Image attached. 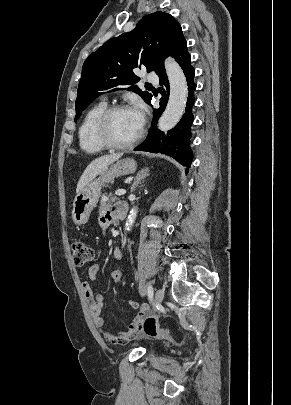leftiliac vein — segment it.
Here are the masks:
<instances>
[{"instance_id":"left-iliac-vein-1","label":"left iliac vein","mask_w":291,"mask_h":405,"mask_svg":"<svg viewBox=\"0 0 291 405\" xmlns=\"http://www.w3.org/2000/svg\"><path fill=\"white\" fill-rule=\"evenodd\" d=\"M164 299V291L162 289H158L155 293V301L157 304H161Z\"/></svg>"}]
</instances>
